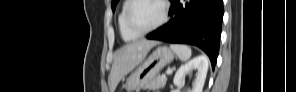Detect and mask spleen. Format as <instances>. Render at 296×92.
Here are the masks:
<instances>
[{
	"label": "spleen",
	"instance_id": "spleen-1",
	"mask_svg": "<svg viewBox=\"0 0 296 92\" xmlns=\"http://www.w3.org/2000/svg\"><path fill=\"white\" fill-rule=\"evenodd\" d=\"M170 49L181 59L182 61H187L192 55L191 48L187 45L181 44H171Z\"/></svg>",
	"mask_w": 296,
	"mask_h": 92
}]
</instances>
